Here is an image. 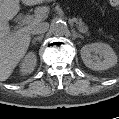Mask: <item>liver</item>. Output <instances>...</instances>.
Instances as JSON below:
<instances>
[{"label": "liver", "mask_w": 119, "mask_h": 119, "mask_svg": "<svg viewBox=\"0 0 119 119\" xmlns=\"http://www.w3.org/2000/svg\"><path fill=\"white\" fill-rule=\"evenodd\" d=\"M26 5H36L45 0H21ZM20 10V0H0V81H6L24 57L31 41V30L47 18L49 8L35 9V19L28 26L10 32L9 20Z\"/></svg>", "instance_id": "6515ba94"}]
</instances>
